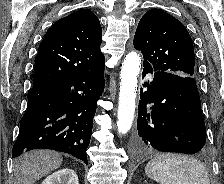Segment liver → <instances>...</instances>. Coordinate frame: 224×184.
I'll list each match as a JSON object with an SVG mask.
<instances>
[{
	"label": "liver",
	"instance_id": "obj_1",
	"mask_svg": "<svg viewBox=\"0 0 224 184\" xmlns=\"http://www.w3.org/2000/svg\"><path fill=\"white\" fill-rule=\"evenodd\" d=\"M62 162V155L51 150L25 153L15 162L14 184H34L43 176L58 169Z\"/></svg>",
	"mask_w": 224,
	"mask_h": 184
}]
</instances>
